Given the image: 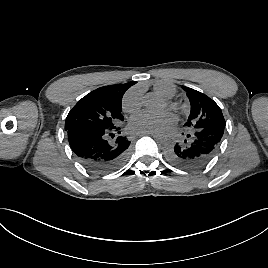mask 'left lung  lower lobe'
Instances as JSON below:
<instances>
[{
	"label": "left lung lower lobe",
	"mask_w": 268,
	"mask_h": 268,
	"mask_svg": "<svg viewBox=\"0 0 268 268\" xmlns=\"http://www.w3.org/2000/svg\"><path fill=\"white\" fill-rule=\"evenodd\" d=\"M225 126L205 128L192 132L184 143H176L170 160L182 169H196L207 164L221 144Z\"/></svg>",
	"instance_id": "0a47b994"
}]
</instances>
